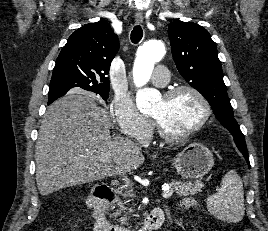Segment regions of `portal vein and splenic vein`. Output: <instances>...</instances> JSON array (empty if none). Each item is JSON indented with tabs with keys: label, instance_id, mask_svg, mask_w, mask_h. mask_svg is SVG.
I'll return each instance as SVG.
<instances>
[{
	"label": "portal vein and splenic vein",
	"instance_id": "1",
	"mask_svg": "<svg viewBox=\"0 0 268 231\" xmlns=\"http://www.w3.org/2000/svg\"><path fill=\"white\" fill-rule=\"evenodd\" d=\"M97 160L106 163V162H109V157L108 156L97 157ZM122 180L125 181V183L127 184L130 183L127 177H124ZM172 195H173V191L170 190V188L163 189V193H162L163 198H170Z\"/></svg>",
	"mask_w": 268,
	"mask_h": 231
}]
</instances>
